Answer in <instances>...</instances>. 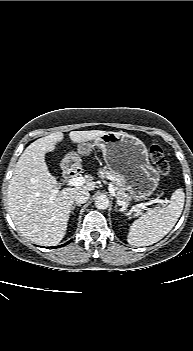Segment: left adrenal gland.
<instances>
[{"mask_svg": "<svg viewBox=\"0 0 193 351\" xmlns=\"http://www.w3.org/2000/svg\"><path fill=\"white\" fill-rule=\"evenodd\" d=\"M117 207H118V205H117V203H116V204H115V210H116V211H121V210H118Z\"/></svg>", "mask_w": 193, "mask_h": 351, "instance_id": "left-adrenal-gland-1", "label": "left adrenal gland"}]
</instances>
